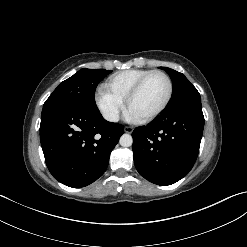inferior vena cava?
Instances as JSON below:
<instances>
[{
    "label": "inferior vena cava",
    "mask_w": 247,
    "mask_h": 247,
    "mask_svg": "<svg viewBox=\"0 0 247 247\" xmlns=\"http://www.w3.org/2000/svg\"><path fill=\"white\" fill-rule=\"evenodd\" d=\"M104 118L110 122H118L119 115L117 113H106L104 114Z\"/></svg>",
    "instance_id": "inferior-vena-cava-1"
}]
</instances>
